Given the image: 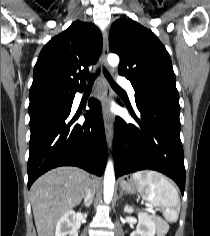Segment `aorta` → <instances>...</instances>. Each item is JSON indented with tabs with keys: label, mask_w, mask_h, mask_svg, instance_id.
I'll use <instances>...</instances> for the list:
<instances>
[{
	"label": "aorta",
	"mask_w": 210,
	"mask_h": 236,
	"mask_svg": "<svg viewBox=\"0 0 210 236\" xmlns=\"http://www.w3.org/2000/svg\"><path fill=\"white\" fill-rule=\"evenodd\" d=\"M108 63L112 67H116L119 64V57L116 54L108 55ZM115 184V174L113 162L109 161L106 166L105 175H104V201L105 203H110L113 197Z\"/></svg>",
	"instance_id": "1"
}]
</instances>
